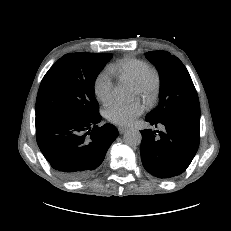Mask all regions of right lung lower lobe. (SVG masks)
Instances as JSON below:
<instances>
[{
    "label": "right lung lower lobe",
    "mask_w": 231,
    "mask_h": 231,
    "mask_svg": "<svg viewBox=\"0 0 231 231\" xmlns=\"http://www.w3.org/2000/svg\"><path fill=\"white\" fill-rule=\"evenodd\" d=\"M101 116L74 117L36 113L37 144L51 167L67 180H82L94 174L117 138L112 124L98 127Z\"/></svg>",
    "instance_id": "right-lung-lower-lobe-1"
}]
</instances>
